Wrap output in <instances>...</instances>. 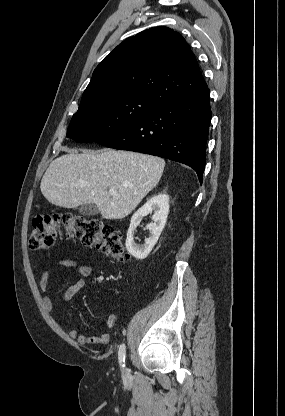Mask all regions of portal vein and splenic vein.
<instances>
[{
	"mask_svg": "<svg viewBox=\"0 0 285 416\" xmlns=\"http://www.w3.org/2000/svg\"><path fill=\"white\" fill-rule=\"evenodd\" d=\"M110 196H116L117 192L116 190H109Z\"/></svg>",
	"mask_w": 285,
	"mask_h": 416,
	"instance_id": "18ae733b",
	"label": "portal vein and splenic vein"
}]
</instances>
